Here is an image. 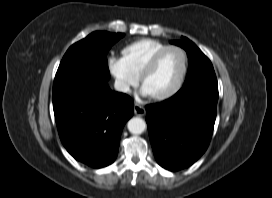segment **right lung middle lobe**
<instances>
[{
  "instance_id": "1",
  "label": "right lung middle lobe",
  "mask_w": 272,
  "mask_h": 198,
  "mask_svg": "<svg viewBox=\"0 0 272 198\" xmlns=\"http://www.w3.org/2000/svg\"><path fill=\"white\" fill-rule=\"evenodd\" d=\"M123 33L93 32L73 44L65 53L57 70L53 89L78 77H93L107 81L110 77L107 53Z\"/></svg>"
}]
</instances>
